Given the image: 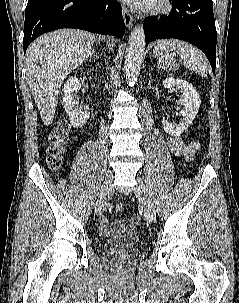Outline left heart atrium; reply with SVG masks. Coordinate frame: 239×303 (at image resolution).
<instances>
[{
	"label": "left heart atrium",
	"mask_w": 239,
	"mask_h": 303,
	"mask_svg": "<svg viewBox=\"0 0 239 303\" xmlns=\"http://www.w3.org/2000/svg\"><path fill=\"white\" fill-rule=\"evenodd\" d=\"M125 1L133 4L136 7L144 8L147 7L153 0H125Z\"/></svg>",
	"instance_id": "obj_1"
}]
</instances>
